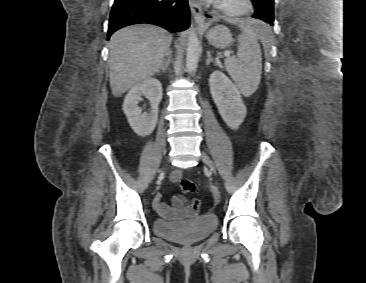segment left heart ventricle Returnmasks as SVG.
Masks as SVG:
<instances>
[{"instance_id": "b2bd125f", "label": "left heart ventricle", "mask_w": 366, "mask_h": 283, "mask_svg": "<svg viewBox=\"0 0 366 283\" xmlns=\"http://www.w3.org/2000/svg\"><path fill=\"white\" fill-rule=\"evenodd\" d=\"M221 1H224L232 6H235L238 4V0H221Z\"/></svg>"}]
</instances>
